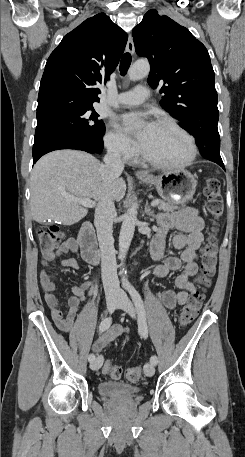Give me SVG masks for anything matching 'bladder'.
<instances>
[{
    "label": "bladder",
    "instance_id": "1",
    "mask_svg": "<svg viewBox=\"0 0 245 457\" xmlns=\"http://www.w3.org/2000/svg\"><path fill=\"white\" fill-rule=\"evenodd\" d=\"M137 392V387L124 382L107 381L99 384L100 395H136Z\"/></svg>",
    "mask_w": 245,
    "mask_h": 457
}]
</instances>
